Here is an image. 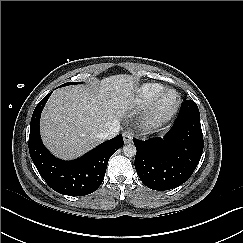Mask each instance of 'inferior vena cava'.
Segmentation results:
<instances>
[{"label":"inferior vena cava","mask_w":243,"mask_h":243,"mask_svg":"<svg viewBox=\"0 0 243 243\" xmlns=\"http://www.w3.org/2000/svg\"><path fill=\"white\" fill-rule=\"evenodd\" d=\"M120 131V124L113 123L106 132L100 133L98 137L102 140L115 137Z\"/></svg>","instance_id":"obj_1"}]
</instances>
